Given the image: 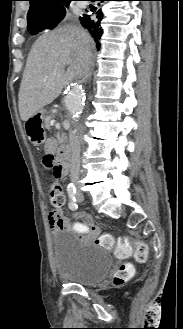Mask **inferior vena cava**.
<instances>
[{"instance_id": "602c4592", "label": "inferior vena cava", "mask_w": 183, "mask_h": 329, "mask_svg": "<svg viewBox=\"0 0 183 329\" xmlns=\"http://www.w3.org/2000/svg\"><path fill=\"white\" fill-rule=\"evenodd\" d=\"M80 62L82 67V79L86 80L92 68V53L89 49H83L80 53ZM70 152H71V166L70 175L72 182L77 183L80 173V150L81 141L76 130L69 132Z\"/></svg>"}]
</instances>
